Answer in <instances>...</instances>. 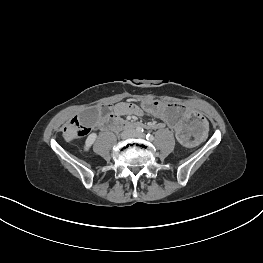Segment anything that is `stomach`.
Returning <instances> with one entry per match:
<instances>
[{
  "label": "stomach",
  "mask_w": 263,
  "mask_h": 263,
  "mask_svg": "<svg viewBox=\"0 0 263 263\" xmlns=\"http://www.w3.org/2000/svg\"><path fill=\"white\" fill-rule=\"evenodd\" d=\"M142 110L146 116L161 120L171 127L172 134L188 150L196 149L210 135L211 127L205 116L179 103L149 100L143 104Z\"/></svg>",
  "instance_id": "obj_1"
}]
</instances>
